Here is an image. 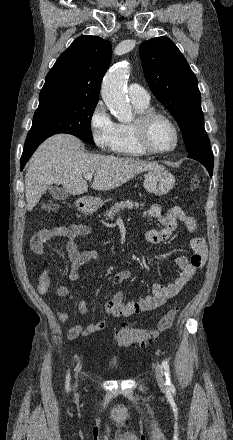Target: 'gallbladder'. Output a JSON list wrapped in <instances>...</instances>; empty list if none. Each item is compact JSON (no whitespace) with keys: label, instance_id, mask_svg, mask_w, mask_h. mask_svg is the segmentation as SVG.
<instances>
[{"label":"gallbladder","instance_id":"gallbladder-1","mask_svg":"<svg viewBox=\"0 0 233 440\" xmlns=\"http://www.w3.org/2000/svg\"><path fill=\"white\" fill-rule=\"evenodd\" d=\"M48 190L52 197L56 200H65L68 197L67 191L58 186H50Z\"/></svg>","mask_w":233,"mask_h":440}]
</instances>
